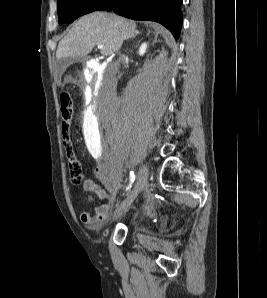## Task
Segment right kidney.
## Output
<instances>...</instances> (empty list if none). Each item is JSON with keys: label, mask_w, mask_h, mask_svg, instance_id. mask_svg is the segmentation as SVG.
<instances>
[{"label": "right kidney", "mask_w": 267, "mask_h": 298, "mask_svg": "<svg viewBox=\"0 0 267 298\" xmlns=\"http://www.w3.org/2000/svg\"><path fill=\"white\" fill-rule=\"evenodd\" d=\"M147 49V43H142V45L139 48V55L143 56Z\"/></svg>", "instance_id": "obj_1"}]
</instances>
